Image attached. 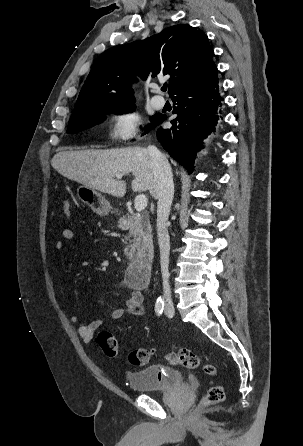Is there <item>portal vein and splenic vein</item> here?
I'll list each match as a JSON object with an SVG mask.
<instances>
[{"mask_svg": "<svg viewBox=\"0 0 303 446\" xmlns=\"http://www.w3.org/2000/svg\"><path fill=\"white\" fill-rule=\"evenodd\" d=\"M117 179H121L122 175H116ZM147 197L144 194H140L135 198L134 207L137 212L143 211L147 207Z\"/></svg>", "mask_w": 303, "mask_h": 446, "instance_id": "portal-vein-and-splenic-vein-1", "label": "portal vein and splenic vein"}]
</instances>
